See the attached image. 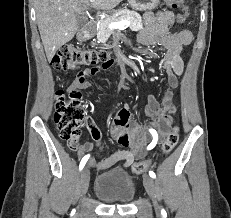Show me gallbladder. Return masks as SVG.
Here are the masks:
<instances>
[{"label": "gallbladder", "mask_w": 231, "mask_h": 218, "mask_svg": "<svg viewBox=\"0 0 231 218\" xmlns=\"http://www.w3.org/2000/svg\"><path fill=\"white\" fill-rule=\"evenodd\" d=\"M77 24H78V28H83L86 24V20L82 17H79Z\"/></svg>", "instance_id": "bac80fb5"}]
</instances>
